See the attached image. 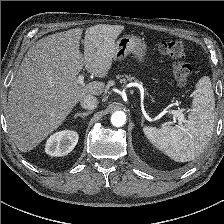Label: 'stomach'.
Wrapping results in <instances>:
<instances>
[{
  "label": "stomach",
  "instance_id": "obj_1",
  "mask_svg": "<svg viewBox=\"0 0 224 224\" xmlns=\"http://www.w3.org/2000/svg\"><path fill=\"white\" fill-rule=\"evenodd\" d=\"M147 52V45L138 36L124 35L116 42V53L114 56L115 61H121L127 55L132 54L140 62H143Z\"/></svg>",
  "mask_w": 224,
  "mask_h": 224
}]
</instances>
